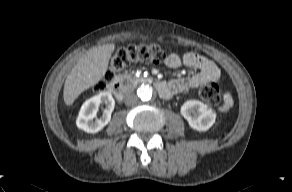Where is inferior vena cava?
<instances>
[{"label":"inferior vena cava","mask_w":292,"mask_h":192,"mask_svg":"<svg viewBox=\"0 0 292 192\" xmlns=\"http://www.w3.org/2000/svg\"><path fill=\"white\" fill-rule=\"evenodd\" d=\"M138 102V97L134 94H129L126 98H125V104L128 106H133Z\"/></svg>","instance_id":"1"}]
</instances>
